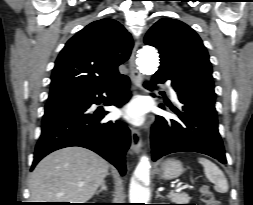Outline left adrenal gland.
<instances>
[{
  "label": "left adrenal gland",
  "instance_id": "a2214340",
  "mask_svg": "<svg viewBox=\"0 0 253 205\" xmlns=\"http://www.w3.org/2000/svg\"><path fill=\"white\" fill-rule=\"evenodd\" d=\"M158 197H160V198H164V197L160 194V192H159V191H156V198H158Z\"/></svg>",
  "mask_w": 253,
  "mask_h": 205
}]
</instances>
